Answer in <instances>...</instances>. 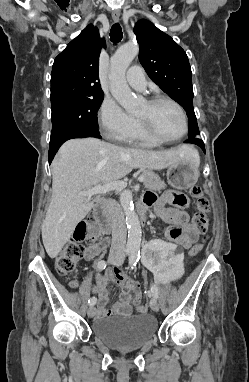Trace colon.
<instances>
[{
	"label": "colon",
	"instance_id": "obj_1",
	"mask_svg": "<svg viewBox=\"0 0 249 382\" xmlns=\"http://www.w3.org/2000/svg\"><path fill=\"white\" fill-rule=\"evenodd\" d=\"M189 194L196 199V213L194 215V224L198 231L203 235V241L194 244L190 251V256H196L203 248V243L207 238V231L210 223V203L203 196L202 189L198 186L190 188ZM102 232L97 225L95 217L90 215L82 220L76 227L73 238L64 244L55 261V267L59 274L69 275L76 269L78 262L84 256V247L82 242L96 243L100 240ZM75 284V283H73ZM134 303L140 312L146 311V305L142 304L140 293L135 294Z\"/></svg>",
	"mask_w": 249,
	"mask_h": 382
}]
</instances>
